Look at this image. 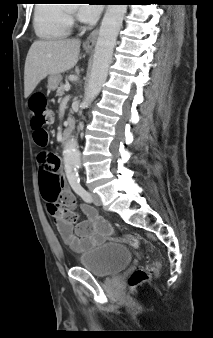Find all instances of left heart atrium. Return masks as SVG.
<instances>
[{"instance_id": "left-heart-atrium-1", "label": "left heart atrium", "mask_w": 213, "mask_h": 338, "mask_svg": "<svg viewBox=\"0 0 213 338\" xmlns=\"http://www.w3.org/2000/svg\"><path fill=\"white\" fill-rule=\"evenodd\" d=\"M101 10L102 5L83 4L79 10V18L83 22L93 23L99 18Z\"/></svg>"}]
</instances>
